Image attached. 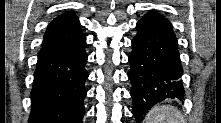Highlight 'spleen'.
<instances>
[{
  "instance_id": "3e777b00",
  "label": "spleen",
  "mask_w": 221,
  "mask_h": 123,
  "mask_svg": "<svg viewBox=\"0 0 221 123\" xmlns=\"http://www.w3.org/2000/svg\"><path fill=\"white\" fill-rule=\"evenodd\" d=\"M145 123H183V116L174 106L157 105L148 112Z\"/></svg>"
}]
</instances>
